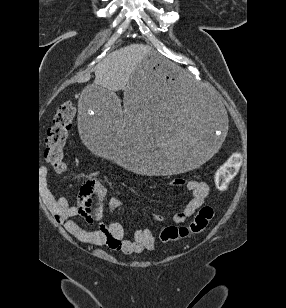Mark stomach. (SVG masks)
<instances>
[{
    "label": "stomach",
    "mask_w": 286,
    "mask_h": 308,
    "mask_svg": "<svg viewBox=\"0 0 286 308\" xmlns=\"http://www.w3.org/2000/svg\"><path fill=\"white\" fill-rule=\"evenodd\" d=\"M169 55L137 60L124 94L87 85L76 97L75 124L88 149L149 177H181L227 144V112L215 91L190 81Z\"/></svg>",
    "instance_id": "1"
}]
</instances>
